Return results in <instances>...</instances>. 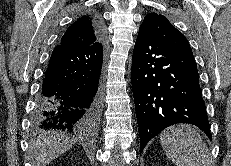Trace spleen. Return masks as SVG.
<instances>
[{"label":"spleen","mask_w":231,"mask_h":166,"mask_svg":"<svg viewBox=\"0 0 231 166\" xmlns=\"http://www.w3.org/2000/svg\"><path fill=\"white\" fill-rule=\"evenodd\" d=\"M166 156L176 166H212L210 152L200 134L187 124L169 127L160 134Z\"/></svg>","instance_id":"3e777b00"}]
</instances>
